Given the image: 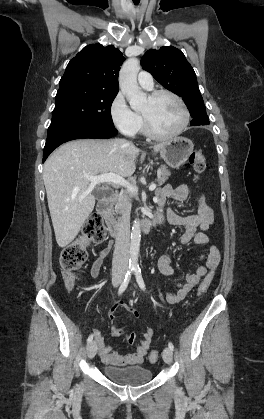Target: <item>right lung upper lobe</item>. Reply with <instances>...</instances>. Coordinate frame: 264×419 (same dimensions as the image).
Wrapping results in <instances>:
<instances>
[{
	"instance_id": "cb5924a9",
	"label": "right lung upper lobe",
	"mask_w": 264,
	"mask_h": 419,
	"mask_svg": "<svg viewBox=\"0 0 264 419\" xmlns=\"http://www.w3.org/2000/svg\"><path fill=\"white\" fill-rule=\"evenodd\" d=\"M124 60L113 45H88L70 60L59 85L77 84L95 91L118 93V74Z\"/></svg>"
}]
</instances>
